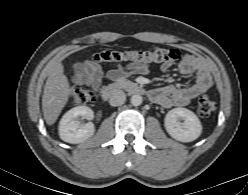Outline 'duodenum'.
<instances>
[{"instance_id":"obj_1","label":"duodenum","mask_w":248,"mask_h":195,"mask_svg":"<svg viewBox=\"0 0 248 195\" xmlns=\"http://www.w3.org/2000/svg\"><path fill=\"white\" fill-rule=\"evenodd\" d=\"M125 90L134 95L145 94L146 90L143 86L126 79H116L110 84L106 85L101 91V97L107 101L111 99L117 92Z\"/></svg>"}]
</instances>
